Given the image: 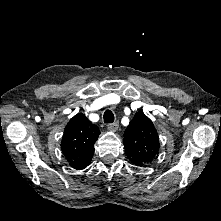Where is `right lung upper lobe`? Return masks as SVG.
Masks as SVG:
<instances>
[{"label":"right lung upper lobe","mask_w":221,"mask_h":221,"mask_svg":"<svg viewBox=\"0 0 221 221\" xmlns=\"http://www.w3.org/2000/svg\"><path fill=\"white\" fill-rule=\"evenodd\" d=\"M99 134L98 127L84 114L78 113L70 119L63 134L61 150L72 168L82 170L90 164Z\"/></svg>","instance_id":"obj_1"}]
</instances>
